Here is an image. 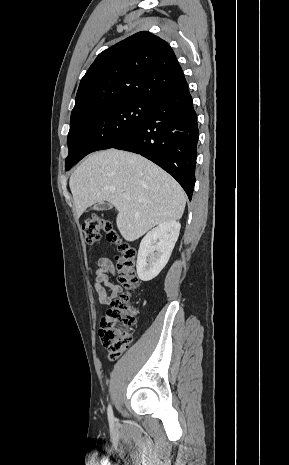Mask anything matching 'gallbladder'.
I'll use <instances>...</instances> for the list:
<instances>
[{
  "instance_id": "1",
  "label": "gallbladder",
  "mask_w": 289,
  "mask_h": 465,
  "mask_svg": "<svg viewBox=\"0 0 289 465\" xmlns=\"http://www.w3.org/2000/svg\"><path fill=\"white\" fill-rule=\"evenodd\" d=\"M112 208L111 203L99 202L93 206L94 210H108Z\"/></svg>"
}]
</instances>
